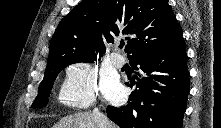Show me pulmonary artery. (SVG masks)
Instances as JSON below:
<instances>
[{
	"label": "pulmonary artery",
	"instance_id": "e3ab8cb5",
	"mask_svg": "<svg viewBox=\"0 0 221 128\" xmlns=\"http://www.w3.org/2000/svg\"><path fill=\"white\" fill-rule=\"evenodd\" d=\"M111 61L113 65L116 66L117 68H121L125 64V59L119 54L118 51L114 52L111 55Z\"/></svg>",
	"mask_w": 221,
	"mask_h": 128
}]
</instances>
